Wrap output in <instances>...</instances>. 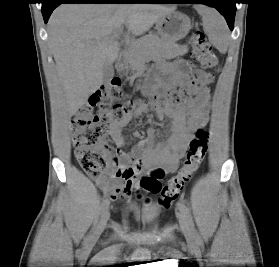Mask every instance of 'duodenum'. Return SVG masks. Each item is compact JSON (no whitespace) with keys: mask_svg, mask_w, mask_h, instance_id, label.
Segmentation results:
<instances>
[{"mask_svg":"<svg viewBox=\"0 0 279 267\" xmlns=\"http://www.w3.org/2000/svg\"><path fill=\"white\" fill-rule=\"evenodd\" d=\"M126 61L124 59H119L118 62L116 63V69L118 72L123 73L126 71Z\"/></svg>","mask_w":279,"mask_h":267,"instance_id":"obj_1","label":"duodenum"}]
</instances>
